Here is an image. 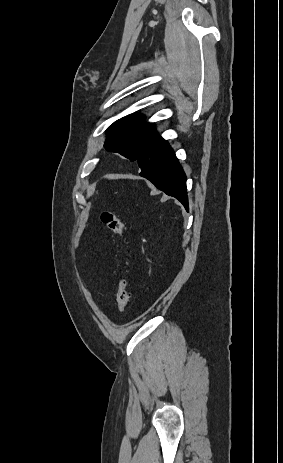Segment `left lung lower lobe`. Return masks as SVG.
I'll use <instances>...</instances> for the list:
<instances>
[{
  "label": "left lung lower lobe",
  "mask_w": 283,
  "mask_h": 463,
  "mask_svg": "<svg viewBox=\"0 0 283 463\" xmlns=\"http://www.w3.org/2000/svg\"><path fill=\"white\" fill-rule=\"evenodd\" d=\"M136 161L141 168L140 176L177 198L188 210L186 176L166 140L157 135Z\"/></svg>",
  "instance_id": "0a47b994"
}]
</instances>
